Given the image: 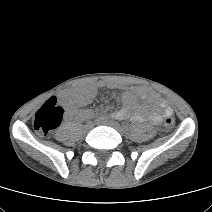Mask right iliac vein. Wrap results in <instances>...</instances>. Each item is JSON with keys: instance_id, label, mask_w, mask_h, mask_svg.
<instances>
[{"instance_id": "right-iliac-vein-1", "label": "right iliac vein", "mask_w": 212, "mask_h": 212, "mask_svg": "<svg viewBox=\"0 0 212 212\" xmlns=\"http://www.w3.org/2000/svg\"><path fill=\"white\" fill-rule=\"evenodd\" d=\"M93 127H94L93 122L89 121V122H87V123L84 125L83 131H84V132H89Z\"/></svg>"}]
</instances>
